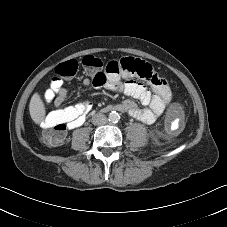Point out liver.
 Instances as JSON below:
<instances>
[{
  "label": "liver",
  "instance_id": "6515ba94",
  "mask_svg": "<svg viewBox=\"0 0 227 227\" xmlns=\"http://www.w3.org/2000/svg\"><path fill=\"white\" fill-rule=\"evenodd\" d=\"M29 112L35 123L42 121L45 117L46 110L40 95L36 92L29 103Z\"/></svg>",
  "mask_w": 227,
  "mask_h": 227
}]
</instances>
